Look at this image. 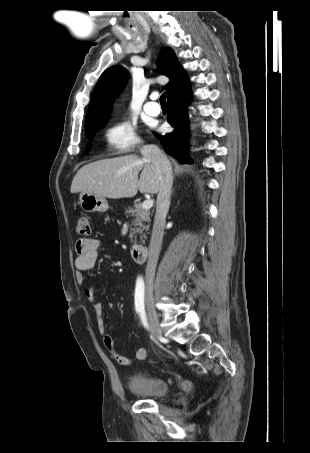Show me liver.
<instances>
[{
    "label": "liver",
    "instance_id": "1",
    "mask_svg": "<svg viewBox=\"0 0 310 453\" xmlns=\"http://www.w3.org/2000/svg\"><path fill=\"white\" fill-rule=\"evenodd\" d=\"M159 188L157 168L137 155H126L84 165L74 176L70 191L120 199L132 198L138 191L156 194Z\"/></svg>",
    "mask_w": 310,
    "mask_h": 453
}]
</instances>
